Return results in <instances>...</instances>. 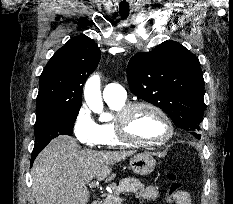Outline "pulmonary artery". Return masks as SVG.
<instances>
[{
    "mask_svg": "<svg viewBox=\"0 0 233 204\" xmlns=\"http://www.w3.org/2000/svg\"><path fill=\"white\" fill-rule=\"evenodd\" d=\"M126 96V90L118 83H109L103 89V98L106 102L123 101Z\"/></svg>",
    "mask_w": 233,
    "mask_h": 204,
    "instance_id": "obj_1",
    "label": "pulmonary artery"
}]
</instances>
